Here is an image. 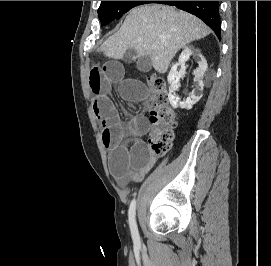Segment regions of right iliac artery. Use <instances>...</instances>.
Returning <instances> with one entry per match:
<instances>
[{"label": "right iliac artery", "instance_id": "obj_1", "mask_svg": "<svg viewBox=\"0 0 271 266\" xmlns=\"http://www.w3.org/2000/svg\"><path fill=\"white\" fill-rule=\"evenodd\" d=\"M135 209H136V201L133 199L131 201L130 207H129V225H130V230L132 234V238L134 242H139V234H138V229L136 225V219H135Z\"/></svg>", "mask_w": 271, "mask_h": 266}]
</instances>
